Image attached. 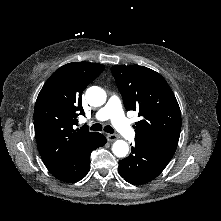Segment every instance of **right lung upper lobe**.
<instances>
[{"label": "right lung upper lobe", "mask_w": 221, "mask_h": 221, "mask_svg": "<svg viewBox=\"0 0 221 221\" xmlns=\"http://www.w3.org/2000/svg\"><path fill=\"white\" fill-rule=\"evenodd\" d=\"M105 66L73 62L57 69L42 87L34 109L36 141L42 160L52 167L87 145L97 132L74 129L77 113L84 115L82 92Z\"/></svg>", "instance_id": "cb5924a9"}]
</instances>
